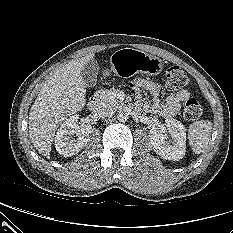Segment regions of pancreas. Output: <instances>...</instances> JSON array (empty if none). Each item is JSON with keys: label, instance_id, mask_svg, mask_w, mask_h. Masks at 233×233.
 I'll use <instances>...</instances> for the list:
<instances>
[{"label": "pancreas", "instance_id": "1", "mask_svg": "<svg viewBox=\"0 0 233 233\" xmlns=\"http://www.w3.org/2000/svg\"><path fill=\"white\" fill-rule=\"evenodd\" d=\"M99 94V98L100 101L102 103H105L109 106L112 107H117L121 104H123V102L121 100L118 99L117 94H118V90L116 89H101L98 91Z\"/></svg>", "mask_w": 233, "mask_h": 233}]
</instances>
